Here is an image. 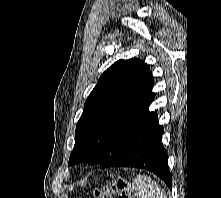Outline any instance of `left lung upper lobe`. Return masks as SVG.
Wrapping results in <instances>:
<instances>
[{
  "label": "left lung upper lobe",
  "mask_w": 221,
  "mask_h": 198,
  "mask_svg": "<svg viewBox=\"0 0 221 198\" xmlns=\"http://www.w3.org/2000/svg\"><path fill=\"white\" fill-rule=\"evenodd\" d=\"M154 78L140 59L118 60L99 78L76 125L69 164L101 165L153 114Z\"/></svg>",
  "instance_id": "left-lung-upper-lobe-1"
}]
</instances>
